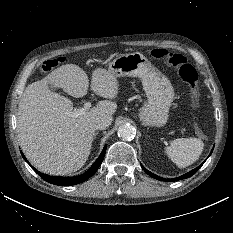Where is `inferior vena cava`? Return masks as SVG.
<instances>
[{
  "label": "inferior vena cava",
  "mask_w": 233,
  "mask_h": 233,
  "mask_svg": "<svg viewBox=\"0 0 233 233\" xmlns=\"http://www.w3.org/2000/svg\"><path fill=\"white\" fill-rule=\"evenodd\" d=\"M112 116L108 114H102L94 120V125L96 129L104 130L108 128L112 123Z\"/></svg>",
  "instance_id": "1"
}]
</instances>
